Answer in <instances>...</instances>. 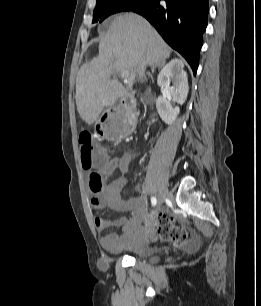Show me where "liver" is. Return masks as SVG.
<instances>
[{"label": "liver", "mask_w": 261, "mask_h": 306, "mask_svg": "<svg viewBox=\"0 0 261 306\" xmlns=\"http://www.w3.org/2000/svg\"><path fill=\"white\" fill-rule=\"evenodd\" d=\"M171 48L146 19L135 13L113 18L99 44V55L80 68L76 79L77 110L87 124H93L105 107H111L131 90L135 79H145L140 66L164 64ZM129 72L127 87L114 73Z\"/></svg>", "instance_id": "obj_1"}]
</instances>
